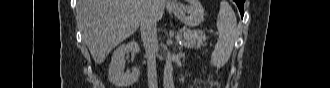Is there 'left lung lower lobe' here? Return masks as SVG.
<instances>
[{"label": "left lung lower lobe", "instance_id": "0a47b994", "mask_svg": "<svg viewBox=\"0 0 330 88\" xmlns=\"http://www.w3.org/2000/svg\"><path fill=\"white\" fill-rule=\"evenodd\" d=\"M234 1L237 3L238 8H239L240 13H241V16L243 18V15H244V1L245 0H234Z\"/></svg>", "mask_w": 330, "mask_h": 88}]
</instances>
